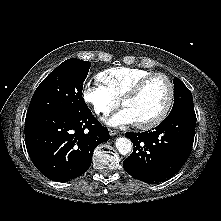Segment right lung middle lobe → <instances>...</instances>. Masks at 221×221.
I'll list each match as a JSON object with an SVG mask.
<instances>
[{
	"instance_id": "obj_1",
	"label": "right lung middle lobe",
	"mask_w": 221,
	"mask_h": 221,
	"mask_svg": "<svg viewBox=\"0 0 221 221\" xmlns=\"http://www.w3.org/2000/svg\"><path fill=\"white\" fill-rule=\"evenodd\" d=\"M91 63L76 58L64 61L37 87L26 117L46 113L76 116L89 112L82 97Z\"/></svg>"
}]
</instances>
